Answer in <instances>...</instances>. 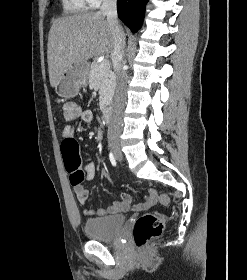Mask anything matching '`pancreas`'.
<instances>
[{
  "mask_svg": "<svg viewBox=\"0 0 247 280\" xmlns=\"http://www.w3.org/2000/svg\"><path fill=\"white\" fill-rule=\"evenodd\" d=\"M89 85L92 89L99 91L101 109L110 104L115 87L114 74L110 68L100 70L99 64L93 62L89 72Z\"/></svg>",
  "mask_w": 247,
  "mask_h": 280,
  "instance_id": "obj_1",
  "label": "pancreas"
}]
</instances>
